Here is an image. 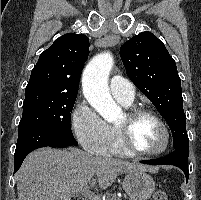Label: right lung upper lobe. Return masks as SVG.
Masks as SVG:
<instances>
[{"label": "right lung upper lobe", "instance_id": "cb5924a9", "mask_svg": "<svg viewBox=\"0 0 201 200\" xmlns=\"http://www.w3.org/2000/svg\"><path fill=\"white\" fill-rule=\"evenodd\" d=\"M89 55V39L83 34L68 33L40 54L31 71L26 93L49 91L77 96L79 78Z\"/></svg>", "mask_w": 201, "mask_h": 200}]
</instances>
